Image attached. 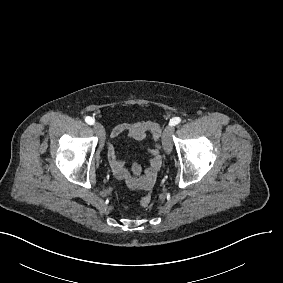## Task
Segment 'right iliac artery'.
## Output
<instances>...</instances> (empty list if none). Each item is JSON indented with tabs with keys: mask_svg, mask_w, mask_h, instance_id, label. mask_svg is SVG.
Masks as SVG:
<instances>
[{
	"mask_svg": "<svg viewBox=\"0 0 283 283\" xmlns=\"http://www.w3.org/2000/svg\"><path fill=\"white\" fill-rule=\"evenodd\" d=\"M85 121H86V123H88L89 125H93L94 122H95V120H94L92 117H90V116H87V117L85 118Z\"/></svg>",
	"mask_w": 283,
	"mask_h": 283,
	"instance_id": "right-iliac-artery-1",
	"label": "right iliac artery"
}]
</instances>
